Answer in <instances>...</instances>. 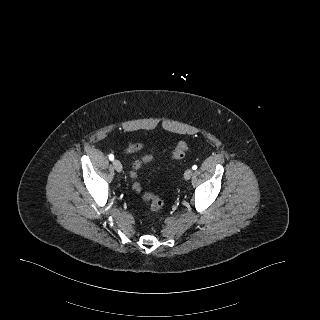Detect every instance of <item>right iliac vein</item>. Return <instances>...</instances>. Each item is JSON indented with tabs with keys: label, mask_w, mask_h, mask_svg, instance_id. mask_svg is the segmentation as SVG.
<instances>
[{
	"label": "right iliac vein",
	"mask_w": 320,
	"mask_h": 320,
	"mask_svg": "<svg viewBox=\"0 0 320 320\" xmlns=\"http://www.w3.org/2000/svg\"><path fill=\"white\" fill-rule=\"evenodd\" d=\"M113 166H114V169L117 171V172H122V164L119 160H114L113 161Z\"/></svg>",
	"instance_id": "63e3f726"
}]
</instances>
